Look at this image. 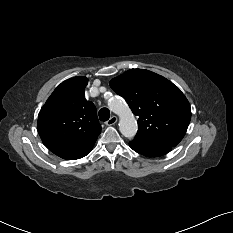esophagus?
Instances as JSON below:
<instances>
[{
  "instance_id": "esophagus-1",
  "label": "esophagus",
  "mask_w": 233,
  "mask_h": 233,
  "mask_svg": "<svg viewBox=\"0 0 233 233\" xmlns=\"http://www.w3.org/2000/svg\"><path fill=\"white\" fill-rule=\"evenodd\" d=\"M117 121H118L117 116L113 115V116H111V117L109 118V120L106 121V125L112 126V125H114L115 123H117Z\"/></svg>"
}]
</instances>
